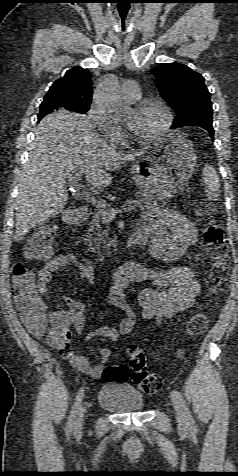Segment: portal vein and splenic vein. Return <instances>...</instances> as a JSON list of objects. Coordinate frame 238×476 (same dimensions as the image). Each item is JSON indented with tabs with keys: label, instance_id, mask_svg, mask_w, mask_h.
Instances as JSON below:
<instances>
[{
	"label": "portal vein and splenic vein",
	"instance_id": "obj_1",
	"mask_svg": "<svg viewBox=\"0 0 238 476\" xmlns=\"http://www.w3.org/2000/svg\"><path fill=\"white\" fill-rule=\"evenodd\" d=\"M70 180L73 183H78L81 180V176L76 175V176L70 177ZM81 196H82V198L86 199L88 202L95 205L101 211L103 218L105 220H108V221L113 220L115 218L116 214H118L120 212L137 211V205H131V206H128V207H124L122 209L109 208V207H107V204L105 202H101V201L96 200L93 196H91L86 191H83Z\"/></svg>",
	"mask_w": 238,
	"mask_h": 476
}]
</instances>
